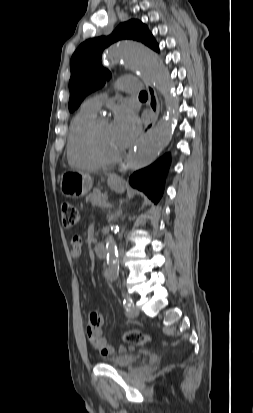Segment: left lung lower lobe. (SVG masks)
<instances>
[{
  "label": "left lung lower lobe",
  "instance_id": "obj_1",
  "mask_svg": "<svg viewBox=\"0 0 253 413\" xmlns=\"http://www.w3.org/2000/svg\"><path fill=\"white\" fill-rule=\"evenodd\" d=\"M170 165L169 154L164 155L151 166L135 172L129 179L132 187L143 191L157 203L162 196L165 177Z\"/></svg>",
  "mask_w": 253,
  "mask_h": 413
}]
</instances>
